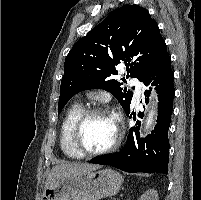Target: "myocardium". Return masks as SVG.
I'll list each match as a JSON object with an SVG mask.
<instances>
[{
	"instance_id": "1",
	"label": "myocardium",
	"mask_w": 201,
	"mask_h": 200,
	"mask_svg": "<svg viewBox=\"0 0 201 200\" xmlns=\"http://www.w3.org/2000/svg\"><path fill=\"white\" fill-rule=\"evenodd\" d=\"M94 115H107L115 119L117 130H116V135L113 141L108 146L100 150L90 151L82 147L81 141H80V134H81V130L84 123L90 117ZM120 140H121V131H120L116 116L113 115L107 108L102 106H91V107L83 109L81 114L78 116V118L74 122L70 132L71 145L75 149V151L82 157H85V156L93 157V156H100V155L110 153L118 147Z\"/></svg>"
}]
</instances>
